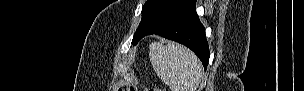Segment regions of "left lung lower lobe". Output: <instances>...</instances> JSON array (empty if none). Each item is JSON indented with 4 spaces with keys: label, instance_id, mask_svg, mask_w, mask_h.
Listing matches in <instances>:
<instances>
[{
    "label": "left lung lower lobe",
    "instance_id": "obj_1",
    "mask_svg": "<svg viewBox=\"0 0 304 91\" xmlns=\"http://www.w3.org/2000/svg\"><path fill=\"white\" fill-rule=\"evenodd\" d=\"M195 3L196 0H171L141 38L159 34L164 38L179 42L194 51L206 69L210 52L205 28L200 23Z\"/></svg>",
    "mask_w": 304,
    "mask_h": 91
}]
</instances>
